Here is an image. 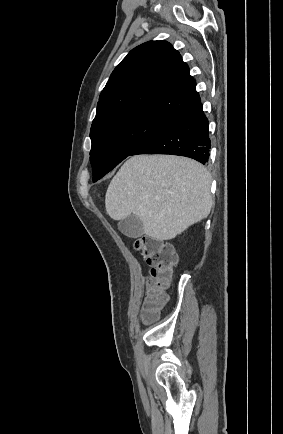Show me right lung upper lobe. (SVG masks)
<instances>
[{"instance_id":"1","label":"right lung upper lobe","mask_w":283,"mask_h":434,"mask_svg":"<svg viewBox=\"0 0 283 434\" xmlns=\"http://www.w3.org/2000/svg\"><path fill=\"white\" fill-rule=\"evenodd\" d=\"M201 102L188 65L166 41L129 52L102 90L92 127L109 118L145 112L173 119Z\"/></svg>"}]
</instances>
